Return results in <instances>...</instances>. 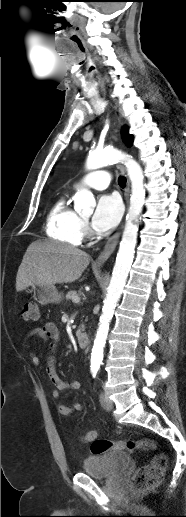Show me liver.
<instances>
[{"mask_svg":"<svg viewBox=\"0 0 186 517\" xmlns=\"http://www.w3.org/2000/svg\"><path fill=\"white\" fill-rule=\"evenodd\" d=\"M90 262L86 252L55 241H36L27 248L16 276V290L33 285L72 283Z\"/></svg>","mask_w":186,"mask_h":517,"instance_id":"obj_1","label":"liver"}]
</instances>
